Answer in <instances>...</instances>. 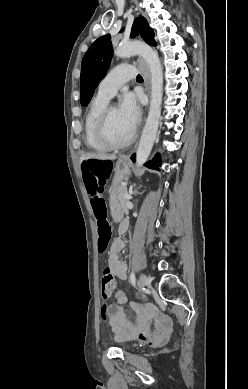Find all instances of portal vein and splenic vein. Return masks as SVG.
Instances as JSON below:
<instances>
[{"label": "portal vein and splenic vein", "mask_w": 248, "mask_h": 389, "mask_svg": "<svg viewBox=\"0 0 248 389\" xmlns=\"http://www.w3.org/2000/svg\"><path fill=\"white\" fill-rule=\"evenodd\" d=\"M125 197L127 198V199H131L132 197H131V195H129V194H125Z\"/></svg>", "instance_id": "18ae733b"}]
</instances>
